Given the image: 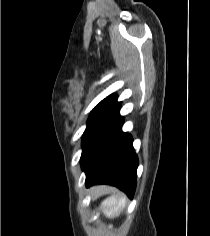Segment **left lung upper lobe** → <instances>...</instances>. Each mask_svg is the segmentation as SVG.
<instances>
[{
    "label": "left lung upper lobe",
    "mask_w": 210,
    "mask_h": 236,
    "mask_svg": "<svg viewBox=\"0 0 210 236\" xmlns=\"http://www.w3.org/2000/svg\"><path fill=\"white\" fill-rule=\"evenodd\" d=\"M117 99V95L112 94L102 100L91 112L88 124L91 123L97 116H99L102 112H104L107 108H109Z\"/></svg>",
    "instance_id": "5c2ea615"
}]
</instances>
